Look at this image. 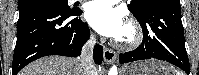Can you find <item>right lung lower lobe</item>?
Masks as SVG:
<instances>
[{
    "label": "right lung lower lobe",
    "mask_w": 199,
    "mask_h": 75,
    "mask_svg": "<svg viewBox=\"0 0 199 75\" xmlns=\"http://www.w3.org/2000/svg\"><path fill=\"white\" fill-rule=\"evenodd\" d=\"M81 13V10H73L70 14H63L50 7L19 10L12 75L43 56H79L90 36L88 25L78 17ZM93 52L95 63L101 64L103 48L96 45Z\"/></svg>",
    "instance_id": "obj_1"
}]
</instances>
